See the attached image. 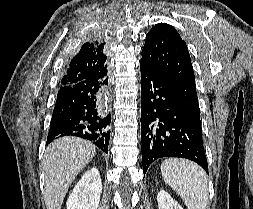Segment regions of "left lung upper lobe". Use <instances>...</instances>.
Wrapping results in <instances>:
<instances>
[{"label":"left lung upper lobe","instance_id":"1","mask_svg":"<svg viewBox=\"0 0 253 209\" xmlns=\"http://www.w3.org/2000/svg\"><path fill=\"white\" fill-rule=\"evenodd\" d=\"M170 84L185 110L200 122L195 77L187 45L177 30L156 24L146 35L141 62Z\"/></svg>","mask_w":253,"mask_h":209}]
</instances>
